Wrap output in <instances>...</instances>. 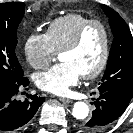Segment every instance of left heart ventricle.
I'll return each instance as SVG.
<instances>
[{
	"label": "left heart ventricle",
	"mask_w": 133,
	"mask_h": 133,
	"mask_svg": "<svg viewBox=\"0 0 133 133\" xmlns=\"http://www.w3.org/2000/svg\"><path fill=\"white\" fill-rule=\"evenodd\" d=\"M104 45V35L98 26L90 27L80 45L71 51L60 54L62 61L72 63L82 74L88 73L99 64Z\"/></svg>",
	"instance_id": "b2bd125f"
}]
</instances>
